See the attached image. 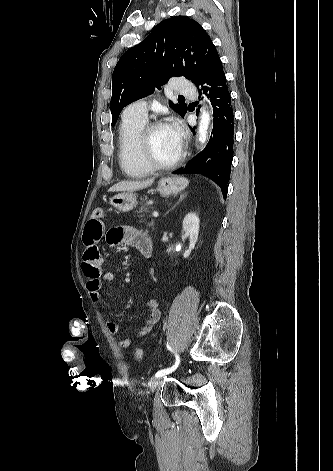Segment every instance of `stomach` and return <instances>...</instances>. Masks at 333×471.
I'll list each match as a JSON object with an SVG mask.
<instances>
[{"mask_svg": "<svg viewBox=\"0 0 333 471\" xmlns=\"http://www.w3.org/2000/svg\"><path fill=\"white\" fill-rule=\"evenodd\" d=\"M188 180L183 177H166L158 182V191L163 196L175 195L185 189ZM110 204L119 211L129 212L137 205L135 194L131 192L114 195Z\"/></svg>", "mask_w": 333, "mask_h": 471, "instance_id": "0dacf381", "label": "stomach"}]
</instances>
